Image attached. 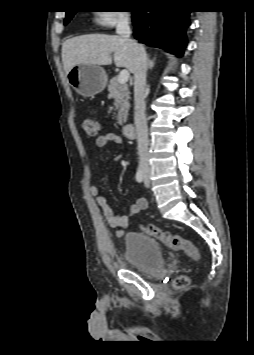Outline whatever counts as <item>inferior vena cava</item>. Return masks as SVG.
Listing matches in <instances>:
<instances>
[{
    "label": "inferior vena cava",
    "mask_w": 254,
    "mask_h": 355,
    "mask_svg": "<svg viewBox=\"0 0 254 355\" xmlns=\"http://www.w3.org/2000/svg\"><path fill=\"white\" fill-rule=\"evenodd\" d=\"M130 18L123 16L119 19L116 27V33L126 43H128L134 53L135 67H134V98H135V112L134 121L137 134L138 154L140 165L143 169H148V128L145 115V85L147 72V55L143 46L130 39L131 29L129 26Z\"/></svg>",
    "instance_id": "602c4592"
}]
</instances>
